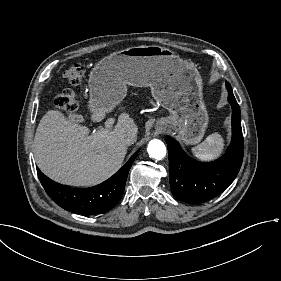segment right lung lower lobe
<instances>
[{
	"mask_svg": "<svg viewBox=\"0 0 281 281\" xmlns=\"http://www.w3.org/2000/svg\"><path fill=\"white\" fill-rule=\"evenodd\" d=\"M137 156L134 153L128 162L112 177L90 188L72 189L58 186L38 171L42 186L51 199L67 211L92 215L111 210L121 199L128 172Z\"/></svg>",
	"mask_w": 281,
	"mask_h": 281,
	"instance_id": "98d812e1",
	"label": "right lung lower lobe"
}]
</instances>
